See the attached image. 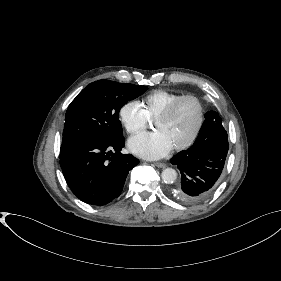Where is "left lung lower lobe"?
Listing matches in <instances>:
<instances>
[{"label":"left lung lower lobe","instance_id":"obj_1","mask_svg":"<svg viewBox=\"0 0 281 281\" xmlns=\"http://www.w3.org/2000/svg\"><path fill=\"white\" fill-rule=\"evenodd\" d=\"M205 114V121L194 144L177 153L170 162L177 165L181 181L176 196L186 203H199L216 189L229 149L227 132L218 121Z\"/></svg>","mask_w":281,"mask_h":281}]
</instances>
